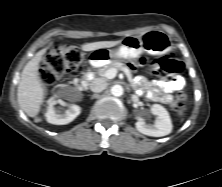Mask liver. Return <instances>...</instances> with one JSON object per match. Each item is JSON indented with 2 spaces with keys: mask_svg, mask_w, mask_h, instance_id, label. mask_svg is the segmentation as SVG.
<instances>
[{
  "mask_svg": "<svg viewBox=\"0 0 222 187\" xmlns=\"http://www.w3.org/2000/svg\"><path fill=\"white\" fill-rule=\"evenodd\" d=\"M121 41H99L86 43L81 46L83 51H93L100 48H110ZM48 48V47H47ZM44 48L24 67L17 90V100L21 109L30 117H36L40 111L45 96V89L39 78L38 68L42 56L46 53Z\"/></svg>",
  "mask_w": 222,
  "mask_h": 187,
  "instance_id": "obj_1",
  "label": "liver"
}]
</instances>
